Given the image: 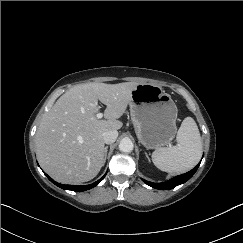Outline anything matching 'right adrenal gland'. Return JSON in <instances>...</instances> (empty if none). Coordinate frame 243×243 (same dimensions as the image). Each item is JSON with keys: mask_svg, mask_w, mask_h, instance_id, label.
I'll use <instances>...</instances> for the list:
<instances>
[{"mask_svg": "<svg viewBox=\"0 0 243 243\" xmlns=\"http://www.w3.org/2000/svg\"><path fill=\"white\" fill-rule=\"evenodd\" d=\"M107 151H108V146H105V148H104V162L106 161Z\"/></svg>", "mask_w": 243, "mask_h": 243, "instance_id": "2a0ac1e0", "label": "right adrenal gland"}]
</instances>
